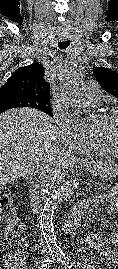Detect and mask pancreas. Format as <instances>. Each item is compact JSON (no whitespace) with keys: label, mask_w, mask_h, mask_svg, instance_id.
Here are the masks:
<instances>
[{"label":"pancreas","mask_w":118,"mask_h":269,"mask_svg":"<svg viewBox=\"0 0 118 269\" xmlns=\"http://www.w3.org/2000/svg\"><path fill=\"white\" fill-rule=\"evenodd\" d=\"M94 190L97 192H112L113 188L109 187L108 182H102V180H99V182H94L93 183Z\"/></svg>","instance_id":"cf45deb5"}]
</instances>
